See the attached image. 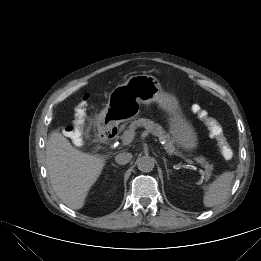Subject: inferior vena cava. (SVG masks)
Wrapping results in <instances>:
<instances>
[{
    "label": "inferior vena cava",
    "instance_id": "1",
    "mask_svg": "<svg viewBox=\"0 0 261 261\" xmlns=\"http://www.w3.org/2000/svg\"><path fill=\"white\" fill-rule=\"evenodd\" d=\"M132 159V154L128 152H120L116 155L115 161L120 165L127 164Z\"/></svg>",
    "mask_w": 261,
    "mask_h": 261
}]
</instances>
